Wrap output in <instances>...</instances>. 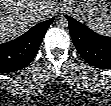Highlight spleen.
<instances>
[{
    "mask_svg": "<svg viewBox=\"0 0 111 106\" xmlns=\"http://www.w3.org/2000/svg\"><path fill=\"white\" fill-rule=\"evenodd\" d=\"M89 27L98 34L111 36V15L91 19Z\"/></svg>",
    "mask_w": 111,
    "mask_h": 106,
    "instance_id": "spleen-1",
    "label": "spleen"
}]
</instances>
